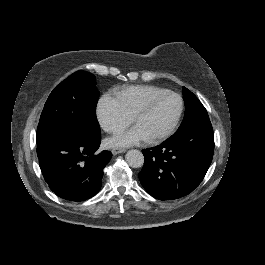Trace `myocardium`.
<instances>
[{"mask_svg":"<svg viewBox=\"0 0 265 265\" xmlns=\"http://www.w3.org/2000/svg\"><path fill=\"white\" fill-rule=\"evenodd\" d=\"M161 94H168V95H172L174 97H176L179 100V109L177 112V115L175 117V119L169 124L167 125L164 129H162L158 134L150 137L148 140L151 143H155L165 137H167L173 130L174 128L178 125L182 115H183V111H184V100L183 97L172 91L169 89H159L155 92H153L152 94H150L138 107V109L136 110V112L133 115V121L135 122V119L137 116H139L141 113H143L149 106L150 104L154 101V99L161 95Z\"/></svg>","mask_w":265,"mask_h":265,"instance_id":"myocardium-1","label":"myocardium"}]
</instances>
